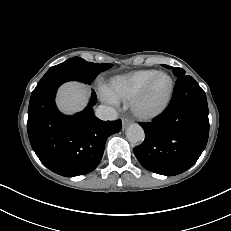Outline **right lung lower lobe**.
Instances as JSON below:
<instances>
[{
	"mask_svg": "<svg viewBox=\"0 0 231 231\" xmlns=\"http://www.w3.org/2000/svg\"><path fill=\"white\" fill-rule=\"evenodd\" d=\"M71 79L63 78L34 89L27 130L40 161L56 174L73 177L93 171L100 163L109 135L121 130V120L102 121L93 112L96 94L88 106L73 116L61 114L55 105L57 88Z\"/></svg>",
	"mask_w": 231,
	"mask_h": 231,
	"instance_id": "1",
	"label": "right lung lower lobe"
}]
</instances>
